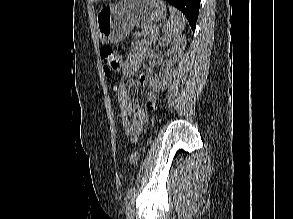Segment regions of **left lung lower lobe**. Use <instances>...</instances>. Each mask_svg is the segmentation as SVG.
<instances>
[{
  "label": "left lung lower lobe",
  "instance_id": "left-lung-lower-lobe-1",
  "mask_svg": "<svg viewBox=\"0 0 293 219\" xmlns=\"http://www.w3.org/2000/svg\"><path fill=\"white\" fill-rule=\"evenodd\" d=\"M186 16L191 26V29L194 31L196 27V21L199 14V6L201 0H166Z\"/></svg>",
  "mask_w": 293,
  "mask_h": 219
}]
</instances>
